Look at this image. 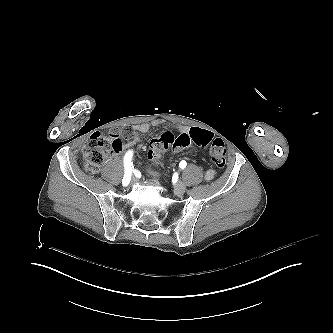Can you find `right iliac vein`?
<instances>
[{
  "label": "right iliac vein",
  "mask_w": 333,
  "mask_h": 333,
  "mask_svg": "<svg viewBox=\"0 0 333 333\" xmlns=\"http://www.w3.org/2000/svg\"><path fill=\"white\" fill-rule=\"evenodd\" d=\"M132 182H136V179H132Z\"/></svg>",
  "instance_id": "right-iliac-vein-1"
}]
</instances>
